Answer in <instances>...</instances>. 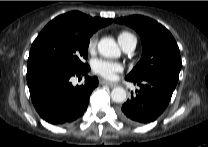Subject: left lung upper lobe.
<instances>
[{
  "label": "left lung upper lobe",
  "instance_id": "left-lung-upper-lobe-1",
  "mask_svg": "<svg viewBox=\"0 0 208 147\" xmlns=\"http://www.w3.org/2000/svg\"><path fill=\"white\" fill-rule=\"evenodd\" d=\"M115 21L135 29L142 41L141 59L126 79L140 80L157 75L178 81L181 69L179 48L164 26L140 15L118 18Z\"/></svg>",
  "mask_w": 208,
  "mask_h": 147
}]
</instances>
